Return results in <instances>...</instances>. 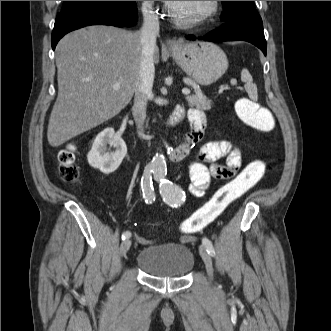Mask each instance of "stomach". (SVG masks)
Returning <instances> with one entry per match:
<instances>
[{
    "mask_svg": "<svg viewBox=\"0 0 331 331\" xmlns=\"http://www.w3.org/2000/svg\"><path fill=\"white\" fill-rule=\"evenodd\" d=\"M172 54L184 72L201 85L216 82L228 68L226 54L212 42L178 44L173 48Z\"/></svg>",
    "mask_w": 331,
    "mask_h": 331,
    "instance_id": "stomach-1",
    "label": "stomach"
}]
</instances>
